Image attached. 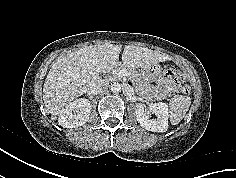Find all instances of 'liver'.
Listing matches in <instances>:
<instances>
[{
    "label": "liver",
    "instance_id": "obj_1",
    "mask_svg": "<svg viewBox=\"0 0 236 178\" xmlns=\"http://www.w3.org/2000/svg\"><path fill=\"white\" fill-rule=\"evenodd\" d=\"M121 45L98 44L70 51L57 59L51 66L43 86V101L51 114L60 115L68 102L90 91L102 80L99 73L116 69ZM170 60L145 47L125 46L122 63L127 68H146L162 61Z\"/></svg>",
    "mask_w": 236,
    "mask_h": 178
}]
</instances>
